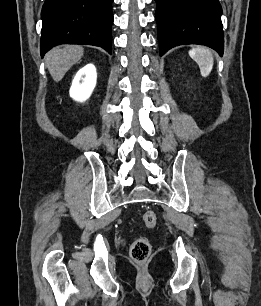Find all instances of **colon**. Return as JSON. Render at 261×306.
<instances>
[{
    "label": "colon",
    "mask_w": 261,
    "mask_h": 306,
    "mask_svg": "<svg viewBox=\"0 0 261 306\" xmlns=\"http://www.w3.org/2000/svg\"><path fill=\"white\" fill-rule=\"evenodd\" d=\"M142 222L146 228L152 229L157 224L156 214L148 210L142 216ZM151 252V245L145 238H137L131 245L130 255L131 258L138 263H142L147 260Z\"/></svg>",
    "instance_id": "5ec220e1"
}]
</instances>
